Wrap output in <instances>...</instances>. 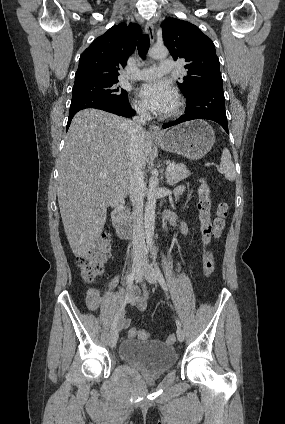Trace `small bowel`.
<instances>
[{
    "mask_svg": "<svg viewBox=\"0 0 285 424\" xmlns=\"http://www.w3.org/2000/svg\"><path fill=\"white\" fill-rule=\"evenodd\" d=\"M184 192L183 187H178L176 189L177 194H182ZM166 217L169 221L175 224L179 231L186 235L188 234V227L185 222L180 220L174 213L169 212L166 214ZM119 279L115 278L111 282L113 288H117ZM141 286L143 292L141 293L140 289L133 286L130 291L124 292L122 289L117 288L118 294L123 298V301L117 306V314L119 315L118 326L120 329H125L130 325V319L124 315L126 304L136 307L140 311H145L148 307L149 294L147 291V285L144 280L141 281ZM86 305L92 310L96 311L99 308L111 309L112 306L110 302L100 296V293L96 289H90L86 297ZM117 316V315H116Z\"/></svg>",
    "mask_w": 285,
    "mask_h": 424,
    "instance_id": "small-bowel-1",
    "label": "small bowel"
}]
</instances>
